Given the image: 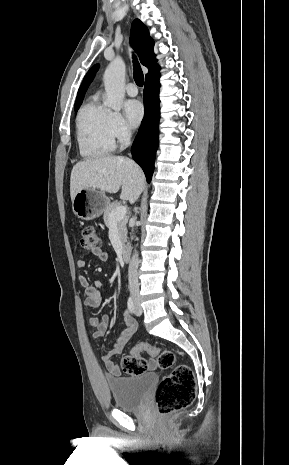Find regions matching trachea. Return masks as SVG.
I'll return each instance as SVG.
<instances>
[{
	"instance_id": "1",
	"label": "trachea",
	"mask_w": 289,
	"mask_h": 465,
	"mask_svg": "<svg viewBox=\"0 0 289 465\" xmlns=\"http://www.w3.org/2000/svg\"><path fill=\"white\" fill-rule=\"evenodd\" d=\"M133 66H134V73H133L134 80L138 86L142 87L144 83V75L140 67V64L137 61L135 56H133Z\"/></svg>"
}]
</instances>
